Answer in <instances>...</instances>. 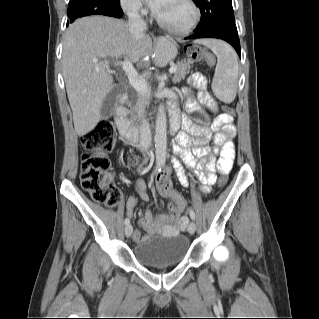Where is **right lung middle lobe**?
<instances>
[{
  "label": "right lung middle lobe",
  "instance_id": "1",
  "mask_svg": "<svg viewBox=\"0 0 319 319\" xmlns=\"http://www.w3.org/2000/svg\"><path fill=\"white\" fill-rule=\"evenodd\" d=\"M119 9V0H70L67 11L68 24L83 16L103 15Z\"/></svg>",
  "mask_w": 319,
  "mask_h": 319
}]
</instances>
